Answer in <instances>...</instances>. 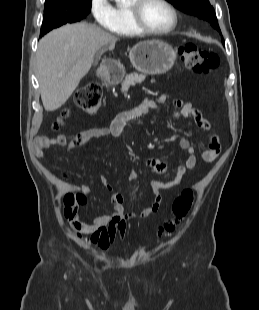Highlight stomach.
<instances>
[{
    "mask_svg": "<svg viewBox=\"0 0 259 310\" xmlns=\"http://www.w3.org/2000/svg\"><path fill=\"white\" fill-rule=\"evenodd\" d=\"M130 61L138 71L145 74H163L174 65L176 51L160 40H148L136 44L129 53Z\"/></svg>",
    "mask_w": 259,
    "mask_h": 310,
    "instance_id": "stomach-1",
    "label": "stomach"
}]
</instances>
